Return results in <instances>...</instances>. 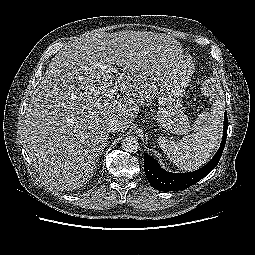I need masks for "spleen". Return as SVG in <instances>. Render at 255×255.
I'll return each mask as SVG.
<instances>
[{
  "label": "spleen",
  "mask_w": 255,
  "mask_h": 255,
  "mask_svg": "<svg viewBox=\"0 0 255 255\" xmlns=\"http://www.w3.org/2000/svg\"><path fill=\"white\" fill-rule=\"evenodd\" d=\"M222 112L201 114L195 122L196 133L171 141L160 136L158 144L167 157L180 169L195 170L205 164L221 138Z\"/></svg>",
  "instance_id": "obj_1"
}]
</instances>
